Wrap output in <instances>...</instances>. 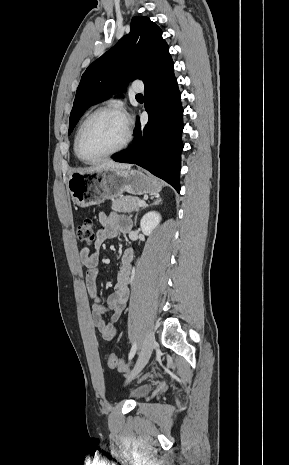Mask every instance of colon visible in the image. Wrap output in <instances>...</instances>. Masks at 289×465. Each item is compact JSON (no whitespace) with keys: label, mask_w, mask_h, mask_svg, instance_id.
Instances as JSON below:
<instances>
[{"label":"colon","mask_w":289,"mask_h":465,"mask_svg":"<svg viewBox=\"0 0 289 465\" xmlns=\"http://www.w3.org/2000/svg\"><path fill=\"white\" fill-rule=\"evenodd\" d=\"M77 238L81 243L91 244L94 242L95 230L94 222L90 218L83 219L77 227ZM107 364L111 369H123L124 361L119 358L117 355L111 353L107 357Z\"/></svg>","instance_id":"1"}]
</instances>
